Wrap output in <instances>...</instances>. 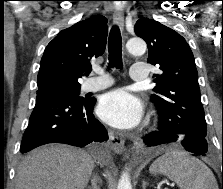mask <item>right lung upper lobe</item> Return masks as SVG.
<instances>
[{"mask_svg":"<svg viewBox=\"0 0 223 189\" xmlns=\"http://www.w3.org/2000/svg\"><path fill=\"white\" fill-rule=\"evenodd\" d=\"M107 19L94 15L60 33L47 45L40 62L37 93L81 87L78 78L91 71V61L106 47Z\"/></svg>","mask_w":223,"mask_h":189,"instance_id":"1","label":"right lung upper lobe"}]
</instances>
